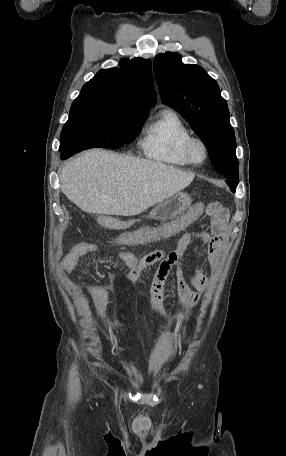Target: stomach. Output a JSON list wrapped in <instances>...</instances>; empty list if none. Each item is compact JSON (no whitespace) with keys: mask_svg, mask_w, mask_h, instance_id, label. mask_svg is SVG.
I'll use <instances>...</instances> for the list:
<instances>
[{"mask_svg":"<svg viewBox=\"0 0 286 456\" xmlns=\"http://www.w3.org/2000/svg\"><path fill=\"white\" fill-rule=\"evenodd\" d=\"M191 201V197L187 193H176L155 206L150 211L149 217L156 220L176 218L189 208Z\"/></svg>","mask_w":286,"mask_h":456,"instance_id":"obj_1","label":"stomach"}]
</instances>
